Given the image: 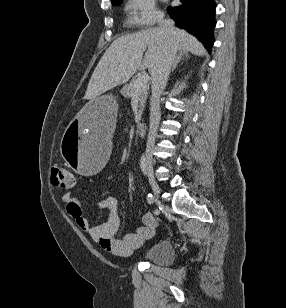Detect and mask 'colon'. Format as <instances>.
<instances>
[{
	"label": "colon",
	"instance_id": "colon-1",
	"mask_svg": "<svg viewBox=\"0 0 286 308\" xmlns=\"http://www.w3.org/2000/svg\"><path fill=\"white\" fill-rule=\"evenodd\" d=\"M51 181L55 187L62 189H73L76 184L74 173L63 167H54L52 169Z\"/></svg>",
	"mask_w": 286,
	"mask_h": 308
}]
</instances>
